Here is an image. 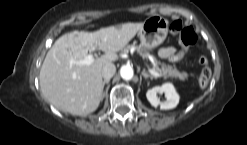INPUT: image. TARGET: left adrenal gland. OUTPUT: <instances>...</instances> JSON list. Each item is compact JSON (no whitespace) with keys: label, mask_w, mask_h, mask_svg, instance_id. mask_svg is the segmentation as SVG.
I'll use <instances>...</instances> for the list:
<instances>
[{"label":"left adrenal gland","mask_w":247,"mask_h":145,"mask_svg":"<svg viewBox=\"0 0 247 145\" xmlns=\"http://www.w3.org/2000/svg\"><path fill=\"white\" fill-rule=\"evenodd\" d=\"M142 75L145 79H147V78L153 79L154 78L152 75H149L145 70L142 71Z\"/></svg>","instance_id":"1"}]
</instances>
